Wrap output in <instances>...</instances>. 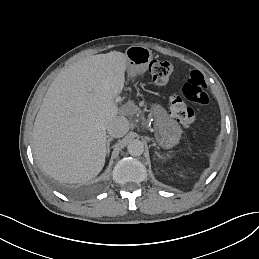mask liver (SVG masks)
I'll return each mask as SVG.
<instances>
[{
  "mask_svg": "<svg viewBox=\"0 0 259 259\" xmlns=\"http://www.w3.org/2000/svg\"><path fill=\"white\" fill-rule=\"evenodd\" d=\"M126 61L121 52L86 57L51 83L34 122L32 148L53 178L77 183L102 170L106 129L121 112L115 97L124 87Z\"/></svg>",
  "mask_w": 259,
  "mask_h": 259,
  "instance_id": "liver-1",
  "label": "liver"
}]
</instances>
